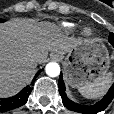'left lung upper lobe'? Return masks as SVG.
I'll return each mask as SVG.
<instances>
[{
  "label": "left lung upper lobe",
  "instance_id": "5c2ea615",
  "mask_svg": "<svg viewBox=\"0 0 114 114\" xmlns=\"http://www.w3.org/2000/svg\"><path fill=\"white\" fill-rule=\"evenodd\" d=\"M110 38H114V34L113 33H110L109 40H110Z\"/></svg>",
  "mask_w": 114,
  "mask_h": 114
}]
</instances>
